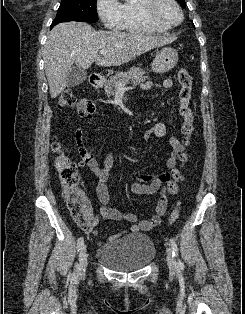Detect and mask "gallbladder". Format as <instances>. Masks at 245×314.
I'll return each mask as SVG.
<instances>
[{
    "label": "gallbladder",
    "instance_id": "obj_1",
    "mask_svg": "<svg viewBox=\"0 0 245 314\" xmlns=\"http://www.w3.org/2000/svg\"><path fill=\"white\" fill-rule=\"evenodd\" d=\"M87 78V72L85 69L72 67L66 77L67 87H75L83 83Z\"/></svg>",
    "mask_w": 245,
    "mask_h": 314
}]
</instances>
